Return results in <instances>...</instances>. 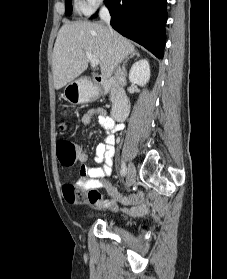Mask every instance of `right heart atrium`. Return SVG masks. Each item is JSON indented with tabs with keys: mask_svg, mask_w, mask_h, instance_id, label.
<instances>
[{
	"mask_svg": "<svg viewBox=\"0 0 227 279\" xmlns=\"http://www.w3.org/2000/svg\"><path fill=\"white\" fill-rule=\"evenodd\" d=\"M77 6L85 13H92L100 5L104 3L105 0H75Z\"/></svg>",
	"mask_w": 227,
	"mask_h": 279,
	"instance_id": "1",
	"label": "right heart atrium"
}]
</instances>
